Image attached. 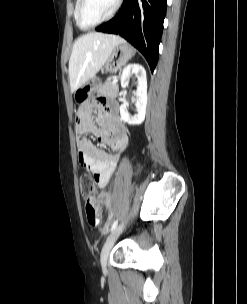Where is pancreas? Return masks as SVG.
Listing matches in <instances>:
<instances>
[{
    "label": "pancreas",
    "instance_id": "1",
    "mask_svg": "<svg viewBox=\"0 0 247 304\" xmlns=\"http://www.w3.org/2000/svg\"><path fill=\"white\" fill-rule=\"evenodd\" d=\"M119 86L113 84L110 79L106 80L103 84H100L97 88V94L105 97L115 98L118 95Z\"/></svg>",
    "mask_w": 247,
    "mask_h": 304
}]
</instances>
